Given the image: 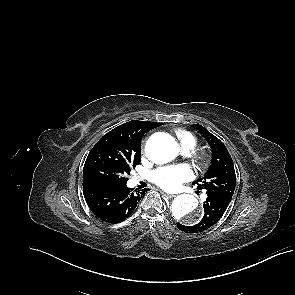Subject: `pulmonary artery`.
Instances as JSON below:
<instances>
[{"label": "pulmonary artery", "mask_w": 295, "mask_h": 295, "mask_svg": "<svg viewBox=\"0 0 295 295\" xmlns=\"http://www.w3.org/2000/svg\"><path fill=\"white\" fill-rule=\"evenodd\" d=\"M190 150L191 149H189V148H182V153L183 154H188L190 152ZM138 180H139V178H136V181H138Z\"/></svg>", "instance_id": "obj_1"}]
</instances>
